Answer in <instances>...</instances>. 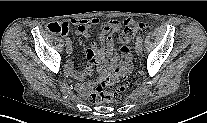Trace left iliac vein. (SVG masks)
Listing matches in <instances>:
<instances>
[{
  "instance_id": "4c4485c4",
  "label": "left iliac vein",
  "mask_w": 207,
  "mask_h": 123,
  "mask_svg": "<svg viewBox=\"0 0 207 123\" xmlns=\"http://www.w3.org/2000/svg\"><path fill=\"white\" fill-rule=\"evenodd\" d=\"M135 50L138 55H140L142 53V43L141 42H136Z\"/></svg>"
}]
</instances>
